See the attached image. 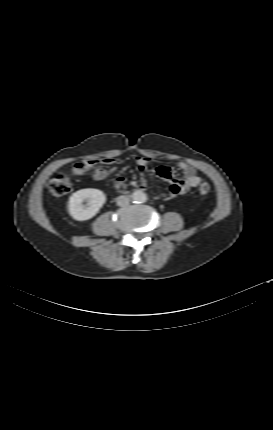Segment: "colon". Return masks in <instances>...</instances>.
<instances>
[{
    "instance_id": "1",
    "label": "colon",
    "mask_w": 273,
    "mask_h": 430,
    "mask_svg": "<svg viewBox=\"0 0 273 430\" xmlns=\"http://www.w3.org/2000/svg\"><path fill=\"white\" fill-rule=\"evenodd\" d=\"M49 191L55 196H64L72 189L71 179L64 173L55 174L48 182ZM211 190V186L207 182H203L198 187V192L201 195H206Z\"/></svg>"
}]
</instances>
